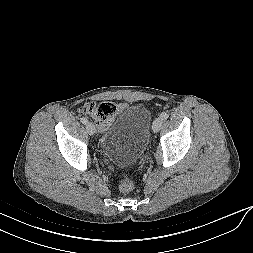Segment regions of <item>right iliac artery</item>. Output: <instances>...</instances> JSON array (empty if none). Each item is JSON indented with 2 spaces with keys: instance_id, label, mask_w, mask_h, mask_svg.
<instances>
[{
  "instance_id": "82829eb1",
  "label": "right iliac artery",
  "mask_w": 253,
  "mask_h": 253,
  "mask_svg": "<svg viewBox=\"0 0 253 253\" xmlns=\"http://www.w3.org/2000/svg\"><path fill=\"white\" fill-rule=\"evenodd\" d=\"M81 122H82L83 124H87V123H88V120H87V118L82 117V118H81Z\"/></svg>"
}]
</instances>
